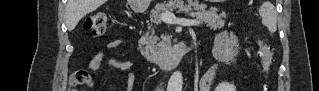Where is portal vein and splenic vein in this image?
<instances>
[{"mask_svg": "<svg viewBox=\"0 0 319 91\" xmlns=\"http://www.w3.org/2000/svg\"><path fill=\"white\" fill-rule=\"evenodd\" d=\"M162 20L168 24L177 23L184 26H198L199 22L188 19H177L176 16L171 12H165L161 16Z\"/></svg>", "mask_w": 319, "mask_h": 91, "instance_id": "18ae733b", "label": "portal vein and splenic vein"}]
</instances>
